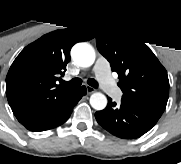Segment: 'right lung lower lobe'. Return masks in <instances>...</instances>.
I'll list each match as a JSON object with an SVG mask.
<instances>
[{
	"instance_id": "98d812e1",
	"label": "right lung lower lobe",
	"mask_w": 181,
	"mask_h": 164,
	"mask_svg": "<svg viewBox=\"0 0 181 164\" xmlns=\"http://www.w3.org/2000/svg\"><path fill=\"white\" fill-rule=\"evenodd\" d=\"M86 94V87L70 91L47 105H24L13 108L18 121L30 131H45L57 127L70 117L74 106Z\"/></svg>"
}]
</instances>
